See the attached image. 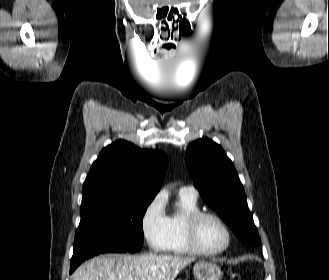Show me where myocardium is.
I'll use <instances>...</instances> for the list:
<instances>
[{"mask_svg": "<svg viewBox=\"0 0 329 280\" xmlns=\"http://www.w3.org/2000/svg\"><path fill=\"white\" fill-rule=\"evenodd\" d=\"M205 218H212L219 222L226 233V242L225 244L216 250H207L203 248L198 239V228L201 221ZM185 236L189 248L195 254L202 256H218L223 254L229 249L233 240L232 231L227 224V222L219 214L212 211H196L190 214L185 222Z\"/></svg>", "mask_w": 329, "mask_h": 280, "instance_id": "1", "label": "myocardium"}]
</instances>
